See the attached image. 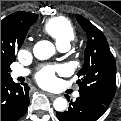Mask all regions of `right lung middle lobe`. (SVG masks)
I'll use <instances>...</instances> for the list:
<instances>
[{
  "instance_id": "right-lung-middle-lobe-1",
  "label": "right lung middle lobe",
  "mask_w": 121,
  "mask_h": 121,
  "mask_svg": "<svg viewBox=\"0 0 121 121\" xmlns=\"http://www.w3.org/2000/svg\"><path fill=\"white\" fill-rule=\"evenodd\" d=\"M24 31L25 30H23L22 32H24ZM25 32H27V30ZM2 71H3V77L4 78L10 77V74H9V72L11 71L10 64L3 66Z\"/></svg>"
}]
</instances>
